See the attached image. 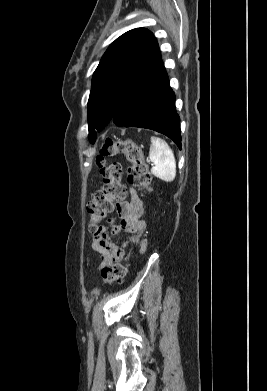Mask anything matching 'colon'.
I'll return each mask as SVG.
<instances>
[{"mask_svg": "<svg viewBox=\"0 0 267 391\" xmlns=\"http://www.w3.org/2000/svg\"><path fill=\"white\" fill-rule=\"evenodd\" d=\"M123 153L130 163L128 181L144 190H149L152 176L143 158L142 147L132 139H107L96 158L102 180V188L96 191L87 206L89 231L94 235L100 232V223L113 210L114 203L126 197V187L121 183L122 166L118 162L108 163L107 159ZM126 274V266L113 263L101 270L102 280L106 284L120 282Z\"/></svg>", "mask_w": 267, "mask_h": 391, "instance_id": "1", "label": "colon"}]
</instances>
